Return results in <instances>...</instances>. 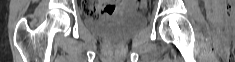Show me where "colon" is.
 Returning <instances> with one entry per match:
<instances>
[{"mask_svg":"<svg viewBox=\"0 0 235 62\" xmlns=\"http://www.w3.org/2000/svg\"><path fill=\"white\" fill-rule=\"evenodd\" d=\"M101 2H104V1H100L99 3H101ZM137 4H138V8L142 10L145 6V1L144 0H138ZM87 11L92 16H99V15L104 14V9L101 8L100 5H97L96 7L87 8Z\"/></svg>","mask_w":235,"mask_h":62,"instance_id":"1","label":"colon"}]
</instances>
